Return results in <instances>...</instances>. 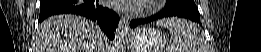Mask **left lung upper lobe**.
I'll list each match as a JSON object with an SVG mask.
<instances>
[{"mask_svg":"<svg viewBox=\"0 0 261 52\" xmlns=\"http://www.w3.org/2000/svg\"><path fill=\"white\" fill-rule=\"evenodd\" d=\"M166 7H184L199 13L194 0H168Z\"/></svg>","mask_w":261,"mask_h":52,"instance_id":"obj_1","label":"left lung upper lobe"}]
</instances>
